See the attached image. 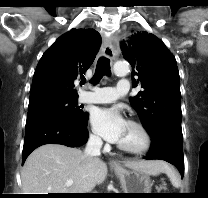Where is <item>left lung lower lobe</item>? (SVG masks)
<instances>
[{"label": "left lung lower lobe", "mask_w": 208, "mask_h": 198, "mask_svg": "<svg viewBox=\"0 0 208 198\" xmlns=\"http://www.w3.org/2000/svg\"><path fill=\"white\" fill-rule=\"evenodd\" d=\"M144 159H160L177 167L184 175L183 138L171 132H163L152 139V146Z\"/></svg>", "instance_id": "1"}]
</instances>
